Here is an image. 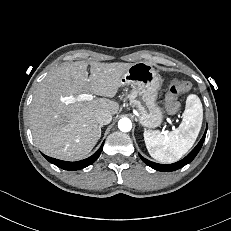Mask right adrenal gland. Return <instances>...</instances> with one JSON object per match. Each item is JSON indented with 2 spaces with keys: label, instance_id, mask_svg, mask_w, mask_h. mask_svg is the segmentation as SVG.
<instances>
[{
  "label": "right adrenal gland",
  "instance_id": "obj_1",
  "mask_svg": "<svg viewBox=\"0 0 231 231\" xmlns=\"http://www.w3.org/2000/svg\"><path fill=\"white\" fill-rule=\"evenodd\" d=\"M101 127H102V126H99V130H100V131H101Z\"/></svg>",
  "mask_w": 231,
  "mask_h": 231
}]
</instances>
